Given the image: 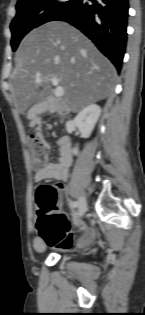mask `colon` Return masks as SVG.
<instances>
[{
	"instance_id": "colon-1",
	"label": "colon",
	"mask_w": 145,
	"mask_h": 315,
	"mask_svg": "<svg viewBox=\"0 0 145 315\" xmlns=\"http://www.w3.org/2000/svg\"><path fill=\"white\" fill-rule=\"evenodd\" d=\"M27 143L31 151L32 165L38 170L47 164L48 147L38 135H30ZM60 187L52 184L39 186L35 201L37 211L36 230L40 238L52 247L69 248L73 235L69 231L67 216L59 210Z\"/></svg>"
}]
</instances>
